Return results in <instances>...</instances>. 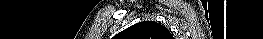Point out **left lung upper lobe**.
<instances>
[{
    "instance_id": "1",
    "label": "left lung upper lobe",
    "mask_w": 263,
    "mask_h": 39,
    "mask_svg": "<svg viewBox=\"0 0 263 39\" xmlns=\"http://www.w3.org/2000/svg\"><path fill=\"white\" fill-rule=\"evenodd\" d=\"M117 39H173L169 30L155 21H144L118 34Z\"/></svg>"
}]
</instances>
